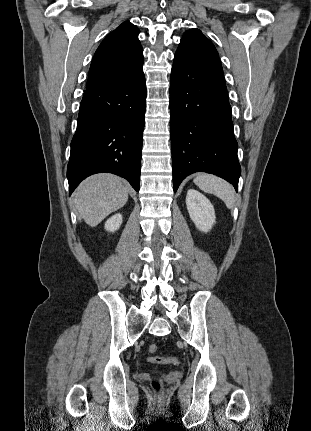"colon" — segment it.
<instances>
[{
	"mask_svg": "<svg viewBox=\"0 0 311 431\" xmlns=\"http://www.w3.org/2000/svg\"><path fill=\"white\" fill-rule=\"evenodd\" d=\"M148 351L152 354L155 353L157 351V346L155 344L149 345ZM148 361L151 363H157V364H171V365L180 364V360L177 357L151 356L148 358ZM152 387L156 393H159L162 389V384L160 380L154 379L152 381Z\"/></svg>",
	"mask_w": 311,
	"mask_h": 431,
	"instance_id": "5ec220e1",
	"label": "colon"
}]
</instances>
